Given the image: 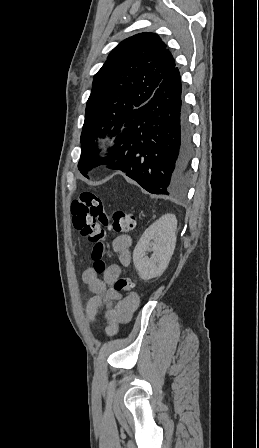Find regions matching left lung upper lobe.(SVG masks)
Here are the masks:
<instances>
[{"label": "left lung upper lobe", "mask_w": 259, "mask_h": 448, "mask_svg": "<svg viewBox=\"0 0 259 448\" xmlns=\"http://www.w3.org/2000/svg\"><path fill=\"white\" fill-rule=\"evenodd\" d=\"M176 66L167 45L155 33H139L123 40L95 74L86 105L78 163L87 173L98 158L94 140L117 136L132 110L149 101L163 78Z\"/></svg>", "instance_id": "obj_1"}]
</instances>
